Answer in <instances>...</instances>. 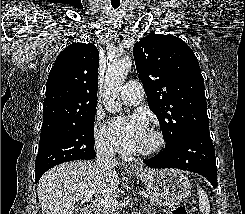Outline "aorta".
Returning <instances> with one entry per match:
<instances>
[{
    "label": "aorta",
    "mask_w": 245,
    "mask_h": 214,
    "mask_svg": "<svg viewBox=\"0 0 245 214\" xmlns=\"http://www.w3.org/2000/svg\"><path fill=\"white\" fill-rule=\"evenodd\" d=\"M132 67V61L129 58L111 63L106 71L104 81L103 103L105 109L112 114H115L121 109L120 90Z\"/></svg>",
    "instance_id": "aorta-1"
}]
</instances>
